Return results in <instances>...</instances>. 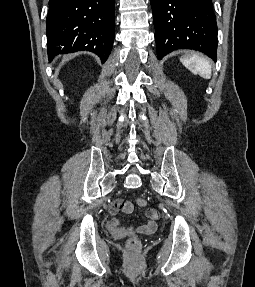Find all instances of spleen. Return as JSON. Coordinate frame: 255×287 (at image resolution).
<instances>
[{
  "mask_svg": "<svg viewBox=\"0 0 255 287\" xmlns=\"http://www.w3.org/2000/svg\"><path fill=\"white\" fill-rule=\"evenodd\" d=\"M180 60L192 74H198L201 78L210 80L212 70L211 64L207 58H201L198 54H193V56H183Z\"/></svg>",
  "mask_w": 255,
  "mask_h": 287,
  "instance_id": "3e777b00",
  "label": "spleen"
}]
</instances>
